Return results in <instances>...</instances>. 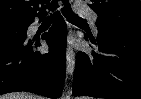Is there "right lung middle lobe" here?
<instances>
[{
  "mask_svg": "<svg viewBox=\"0 0 141 99\" xmlns=\"http://www.w3.org/2000/svg\"><path fill=\"white\" fill-rule=\"evenodd\" d=\"M26 23L23 21H3L0 22V30L25 29Z\"/></svg>",
  "mask_w": 141,
  "mask_h": 99,
  "instance_id": "obj_1",
  "label": "right lung middle lobe"
}]
</instances>
